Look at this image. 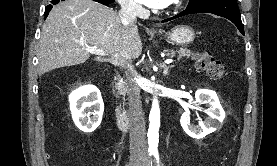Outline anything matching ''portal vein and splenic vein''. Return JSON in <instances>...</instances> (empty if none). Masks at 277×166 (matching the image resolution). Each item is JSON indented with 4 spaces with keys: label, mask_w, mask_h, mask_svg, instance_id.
<instances>
[{
    "label": "portal vein and splenic vein",
    "mask_w": 277,
    "mask_h": 166,
    "mask_svg": "<svg viewBox=\"0 0 277 166\" xmlns=\"http://www.w3.org/2000/svg\"><path fill=\"white\" fill-rule=\"evenodd\" d=\"M87 52L91 53V54H95V55H104V52L102 50L96 49L95 47H88L85 49ZM173 60L172 59H166L165 63L166 64H170L172 63Z\"/></svg>",
    "instance_id": "18ae733b"
}]
</instances>
